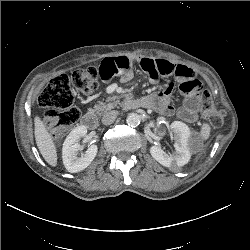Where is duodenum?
Returning a JSON list of instances; mask_svg holds the SVG:
<instances>
[{
    "mask_svg": "<svg viewBox=\"0 0 250 250\" xmlns=\"http://www.w3.org/2000/svg\"><path fill=\"white\" fill-rule=\"evenodd\" d=\"M140 107L138 100H127L125 101L124 109H137ZM82 123L89 129H95L97 127V118L93 112H87L82 119Z\"/></svg>",
    "mask_w": 250,
    "mask_h": 250,
    "instance_id": "1",
    "label": "duodenum"
}]
</instances>
